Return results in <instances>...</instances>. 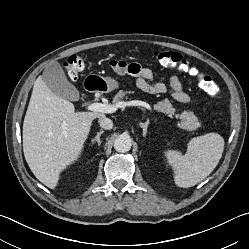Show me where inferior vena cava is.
Listing matches in <instances>:
<instances>
[{
    "label": "inferior vena cava",
    "mask_w": 249,
    "mask_h": 249,
    "mask_svg": "<svg viewBox=\"0 0 249 249\" xmlns=\"http://www.w3.org/2000/svg\"><path fill=\"white\" fill-rule=\"evenodd\" d=\"M98 123L101 128L110 130L113 127V122L111 119L107 118L105 115L99 117Z\"/></svg>",
    "instance_id": "602c4592"
}]
</instances>
